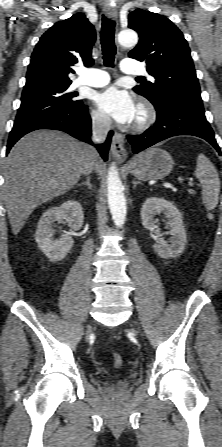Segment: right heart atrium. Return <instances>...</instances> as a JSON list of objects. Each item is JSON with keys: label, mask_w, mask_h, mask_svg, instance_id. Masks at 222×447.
<instances>
[{"label": "right heart atrium", "mask_w": 222, "mask_h": 447, "mask_svg": "<svg viewBox=\"0 0 222 447\" xmlns=\"http://www.w3.org/2000/svg\"><path fill=\"white\" fill-rule=\"evenodd\" d=\"M89 117H90L91 124L94 127L103 129V130H105L109 127L108 118L100 111L91 110Z\"/></svg>", "instance_id": "right-heart-atrium-1"}]
</instances>
